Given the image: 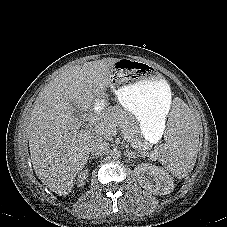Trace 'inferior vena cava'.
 Wrapping results in <instances>:
<instances>
[{"mask_svg":"<svg viewBox=\"0 0 227 227\" xmlns=\"http://www.w3.org/2000/svg\"><path fill=\"white\" fill-rule=\"evenodd\" d=\"M108 148L109 144L105 140L102 138H95L89 147V151L92 156L99 157L105 154Z\"/></svg>","mask_w":227,"mask_h":227,"instance_id":"602c4592","label":"inferior vena cava"}]
</instances>
